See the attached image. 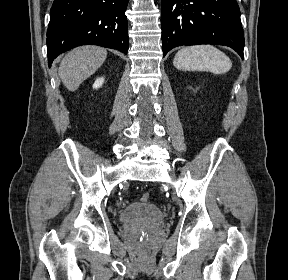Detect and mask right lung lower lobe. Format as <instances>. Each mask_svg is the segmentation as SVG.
<instances>
[{
  "label": "right lung lower lobe",
  "mask_w": 288,
  "mask_h": 280,
  "mask_svg": "<svg viewBox=\"0 0 288 280\" xmlns=\"http://www.w3.org/2000/svg\"><path fill=\"white\" fill-rule=\"evenodd\" d=\"M128 0H54L47 30L48 64L63 52L91 44L127 54Z\"/></svg>",
  "instance_id": "1"
}]
</instances>
